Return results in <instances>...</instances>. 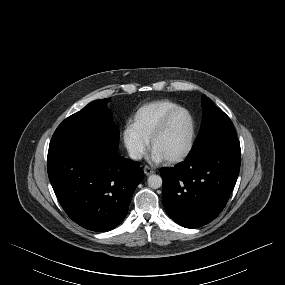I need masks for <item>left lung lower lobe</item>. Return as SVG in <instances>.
<instances>
[{"mask_svg": "<svg viewBox=\"0 0 285 285\" xmlns=\"http://www.w3.org/2000/svg\"><path fill=\"white\" fill-rule=\"evenodd\" d=\"M240 148L210 151L163 169L162 200L176 223L197 228L214 220L225 207L240 170Z\"/></svg>", "mask_w": 285, "mask_h": 285, "instance_id": "1", "label": "left lung lower lobe"}]
</instances>
